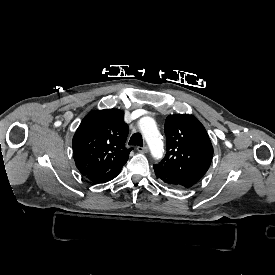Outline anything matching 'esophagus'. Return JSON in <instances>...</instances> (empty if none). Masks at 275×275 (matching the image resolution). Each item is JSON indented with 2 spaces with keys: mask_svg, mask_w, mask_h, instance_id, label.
Wrapping results in <instances>:
<instances>
[{
  "mask_svg": "<svg viewBox=\"0 0 275 275\" xmlns=\"http://www.w3.org/2000/svg\"><path fill=\"white\" fill-rule=\"evenodd\" d=\"M137 150H138L140 153H147L149 149H148L147 146H144V147H137Z\"/></svg>",
  "mask_w": 275,
  "mask_h": 275,
  "instance_id": "34e87169",
  "label": "esophagus"
}]
</instances>
